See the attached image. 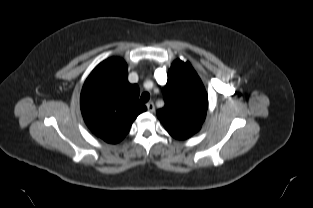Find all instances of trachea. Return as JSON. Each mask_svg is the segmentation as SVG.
<instances>
[{"instance_id":"obj_1","label":"trachea","mask_w":313,"mask_h":208,"mask_svg":"<svg viewBox=\"0 0 313 208\" xmlns=\"http://www.w3.org/2000/svg\"><path fill=\"white\" fill-rule=\"evenodd\" d=\"M149 99H150L149 93L145 92V93H143V94L141 95V101H142L143 103L148 102Z\"/></svg>"}]
</instances>
